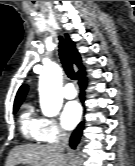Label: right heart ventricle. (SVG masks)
Returning a JSON list of instances; mask_svg holds the SVG:
<instances>
[{
  "instance_id": "obj_1",
  "label": "right heart ventricle",
  "mask_w": 135,
  "mask_h": 166,
  "mask_svg": "<svg viewBox=\"0 0 135 166\" xmlns=\"http://www.w3.org/2000/svg\"><path fill=\"white\" fill-rule=\"evenodd\" d=\"M20 131L29 142L39 143L42 138V119L36 115L34 107L28 103L23 108L20 118Z\"/></svg>"
}]
</instances>
